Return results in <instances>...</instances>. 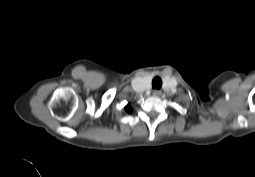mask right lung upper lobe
Wrapping results in <instances>:
<instances>
[{"label": "right lung upper lobe", "mask_w": 255, "mask_h": 177, "mask_svg": "<svg viewBox=\"0 0 255 177\" xmlns=\"http://www.w3.org/2000/svg\"><path fill=\"white\" fill-rule=\"evenodd\" d=\"M124 109H125V111L127 113H131L132 112V107H131L130 103L128 105H126Z\"/></svg>", "instance_id": "right-lung-upper-lobe-1"}]
</instances>
